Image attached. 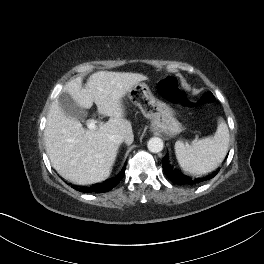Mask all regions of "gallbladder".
<instances>
[{
    "mask_svg": "<svg viewBox=\"0 0 264 264\" xmlns=\"http://www.w3.org/2000/svg\"><path fill=\"white\" fill-rule=\"evenodd\" d=\"M57 99L62 112L67 117H72L77 120H82L86 117V110L81 108L67 92H61Z\"/></svg>",
    "mask_w": 264,
    "mask_h": 264,
    "instance_id": "1",
    "label": "gallbladder"
}]
</instances>
